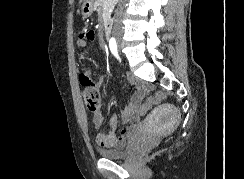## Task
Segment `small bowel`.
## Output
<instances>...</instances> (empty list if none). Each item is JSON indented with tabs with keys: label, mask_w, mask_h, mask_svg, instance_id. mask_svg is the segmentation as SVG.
Wrapping results in <instances>:
<instances>
[{
	"label": "small bowel",
	"mask_w": 244,
	"mask_h": 179,
	"mask_svg": "<svg viewBox=\"0 0 244 179\" xmlns=\"http://www.w3.org/2000/svg\"><path fill=\"white\" fill-rule=\"evenodd\" d=\"M84 36V39H83ZM95 39V33L92 30H83L78 34L77 45L80 48H87L88 43ZM94 68H88L80 74V82L82 85L100 86L105 81V76H101L97 81L92 80ZM143 88V87H142ZM134 93L128 104L121 112V121L126 124L125 128L119 130V119L113 116L110 120V130L108 132H99L96 135V143L102 147H121L125 144L126 139L131 135L139 124L140 110H144L140 106L141 90ZM104 116L97 112L93 115V124L96 129H101L104 125Z\"/></svg>",
	"instance_id": "1"
}]
</instances>
